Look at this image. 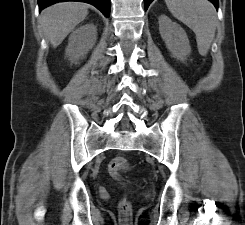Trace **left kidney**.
Here are the masks:
<instances>
[{
	"label": "left kidney",
	"mask_w": 245,
	"mask_h": 225,
	"mask_svg": "<svg viewBox=\"0 0 245 225\" xmlns=\"http://www.w3.org/2000/svg\"><path fill=\"white\" fill-rule=\"evenodd\" d=\"M158 20L160 35L167 49L171 52L172 57L183 61L191 53L186 32L166 15H161Z\"/></svg>",
	"instance_id": "left-kidney-1"
}]
</instances>
